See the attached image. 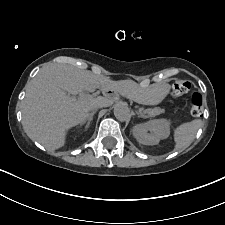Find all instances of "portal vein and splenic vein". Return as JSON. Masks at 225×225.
I'll return each mask as SVG.
<instances>
[{
  "label": "portal vein and splenic vein",
  "instance_id": "portal-vein-and-splenic-vein-1",
  "mask_svg": "<svg viewBox=\"0 0 225 225\" xmlns=\"http://www.w3.org/2000/svg\"><path fill=\"white\" fill-rule=\"evenodd\" d=\"M80 97L85 98V97H87V95L81 94Z\"/></svg>",
  "mask_w": 225,
  "mask_h": 225
}]
</instances>
